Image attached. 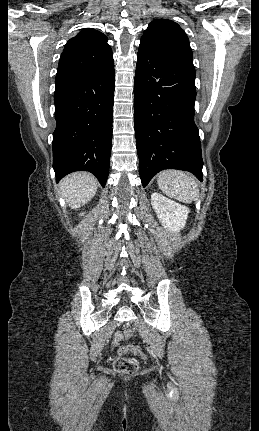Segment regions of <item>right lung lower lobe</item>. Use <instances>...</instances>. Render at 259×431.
<instances>
[{
	"instance_id": "98d812e1",
	"label": "right lung lower lobe",
	"mask_w": 259,
	"mask_h": 431,
	"mask_svg": "<svg viewBox=\"0 0 259 431\" xmlns=\"http://www.w3.org/2000/svg\"><path fill=\"white\" fill-rule=\"evenodd\" d=\"M114 66L56 82L53 168L57 182L89 171L104 187L112 146Z\"/></svg>"
}]
</instances>
